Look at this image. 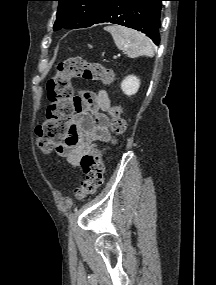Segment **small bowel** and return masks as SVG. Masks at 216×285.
I'll return each instance as SVG.
<instances>
[{"label":"small bowel","instance_id":"1","mask_svg":"<svg viewBox=\"0 0 216 285\" xmlns=\"http://www.w3.org/2000/svg\"><path fill=\"white\" fill-rule=\"evenodd\" d=\"M76 104L77 109L69 132L57 151L73 167L82 170L81 158L110 139V121L106 111L111 103L107 92L100 90L97 93L87 91L77 96Z\"/></svg>","mask_w":216,"mask_h":285}]
</instances>
